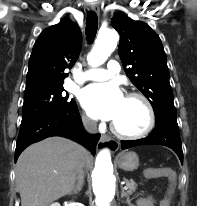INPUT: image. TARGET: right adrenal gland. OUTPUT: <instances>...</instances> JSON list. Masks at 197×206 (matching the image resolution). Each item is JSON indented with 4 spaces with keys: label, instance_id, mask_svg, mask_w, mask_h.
<instances>
[{
    "label": "right adrenal gland",
    "instance_id": "obj_1",
    "mask_svg": "<svg viewBox=\"0 0 197 206\" xmlns=\"http://www.w3.org/2000/svg\"><path fill=\"white\" fill-rule=\"evenodd\" d=\"M83 182H78L75 188L73 189L72 193L70 194H77L82 188Z\"/></svg>",
    "mask_w": 197,
    "mask_h": 206
}]
</instances>
